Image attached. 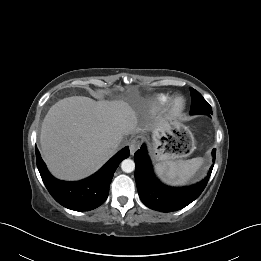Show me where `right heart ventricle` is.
<instances>
[{
    "label": "right heart ventricle",
    "mask_w": 261,
    "mask_h": 261,
    "mask_svg": "<svg viewBox=\"0 0 261 261\" xmlns=\"http://www.w3.org/2000/svg\"><path fill=\"white\" fill-rule=\"evenodd\" d=\"M159 100H160L162 103H167L168 100H169V97L166 96V95H161V96L159 97Z\"/></svg>",
    "instance_id": "obj_1"
}]
</instances>
